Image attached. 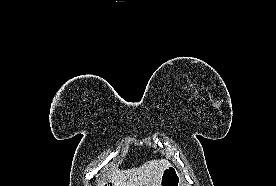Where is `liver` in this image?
Here are the masks:
<instances>
[{
  "label": "liver",
  "instance_id": "liver-1",
  "mask_svg": "<svg viewBox=\"0 0 276 186\" xmlns=\"http://www.w3.org/2000/svg\"><path fill=\"white\" fill-rule=\"evenodd\" d=\"M171 164L165 159L150 160L139 168H115L108 177L113 186H160L161 175Z\"/></svg>",
  "mask_w": 276,
  "mask_h": 186
}]
</instances>
